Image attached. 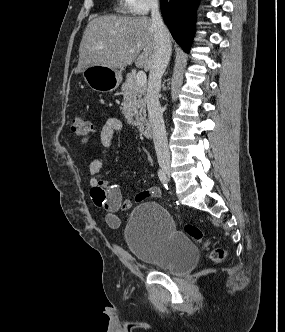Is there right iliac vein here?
Masks as SVG:
<instances>
[{
	"mask_svg": "<svg viewBox=\"0 0 285 332\" xmlns=\"http://www.w3.org/2000/svg\"><path fill=\"white\" fill-rule=\"evenodd\" d=\"M162 170H163L164 172H166V173L169 174V172H170V167H169L168 165H166V164H163V165H162Z\"/></svg>",
	"mask_w": 285,
	"mask_h": 332,
	"instance_id": "right-iliac-vein-1",
	"label": "right iliac vein"
}]
</instances>
